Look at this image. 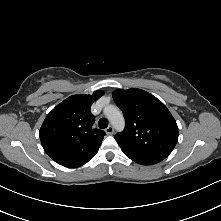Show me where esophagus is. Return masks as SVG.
I'll return each instance as SVG.
<instances>
[{"instance_id": "obj_1", "label": "esophagus", "mask_w": 221, "mask_h": 221, "mask_svg": "<svg viewBox=\"0 0 221 221\" xmlns=\"http://www.w3.org/2000/svg\"><path fill=\"white\" fill-rule=\"evenodd\" d=\"M105 131L108 135H112L114 133V128H113V126L110 125L106 128Z\"/></svg>"}]
</instances>
